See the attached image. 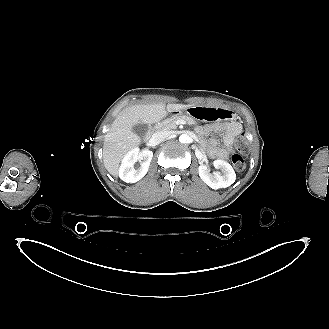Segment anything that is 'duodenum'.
<instances>
[{"instance_id": "1", "label": "duodenum", "mask_w": 329, "mask_h": 329, "mask_svg": "<svg viewBox=\"0 0 329 329\" xmlns=\"http://www.w3.org/2000/svg\"><path fill=\"white\" fill-rule=\"evenodd\" d=\"M151 134L150 133H147V135L145 136V140H149Z\"/></svg>"}]
</instances>
